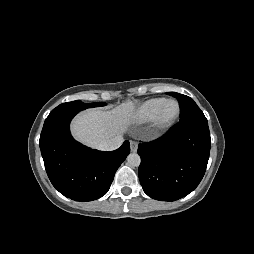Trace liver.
I'll return each instance as SVG.
<instances>
[{"instance_id": "6515ba94", "label": "liver", "mask_w": 254, "mask_h": 254, "mask_svg": "<svg viewBox=\"0 0 254 254\" xmlns=\"http://www.w3.org/2000/svg\"><path fill=\"white\" fill-rule=\"evenodd\" d=\"M135 111L133 101H126L112 110L89 109L72 122L74 137L92 147L123 134L131 123Z\"/></svg>"}]
</instances>
